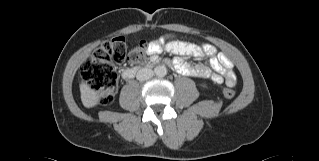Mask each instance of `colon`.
<instances>
[{
    "label": "colon",
    "mask_w": 319,
    "mask_h": 161,
    "mask_svg": "<svg viewBox=\"0 0 319 161\" xmlns=\"http://www.w3.org/2000/svg\"><path fill=\"white\" fill-rule=\"evenodd\" d=\"M149 53L148 45L139 44L128 52L126 39L114 37L105 41L98 49L93 51L82 64V77L85 83L95 91L102 104H109L114 100L118 77L115 64L130 61L140 63ZM234 85H226L223 94L227 98L235 96Z\"/></svg>",
    "instance_id": "obj_1"
}]
</instances>
